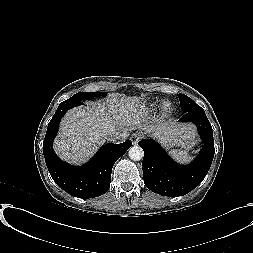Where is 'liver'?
I'll use <instances>...</instances> for the list:
<instances>
[{"label":"liver","mask_w":253,"mask_h":253,"mask_svg":"<svg viewBox=\"0 0 253 253\" xmlns=\"http://www.w3.org/2000/svg\"><path fill=\"white\" fill-rule=\"evenodd\" d=\"M145 106L138 97L113 95L103 103L71 109L60 123V132L54 143L57 155L70 163L86 162L105 142L112 131H131L136 127L154 132L161 142H173L181 147L195 145L196 129L191 124L168 121L157 126L148 125Z\"/></svg>","instance_id":"obj_1"}]
</instances>
